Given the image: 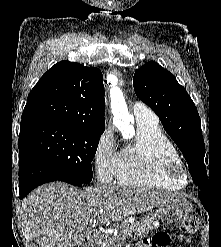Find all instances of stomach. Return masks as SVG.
Masks as SVG:
<instances>
[{"label": "stomach", "instance_id": "1", "mask_svg": "<svg viewBox=\"0 0 221 247\" xmlns=\"http://www.w3.org/2000/svg\"><path fill=\"white\" fill-rule=\"evenodd\" d=\"M191 210L187 200L182 197H175L160 205L155 212L158 220L166 223H174L185 218Z\"/></svg>", "mask_w": 221, "mask_h": 247}]
</instances>
